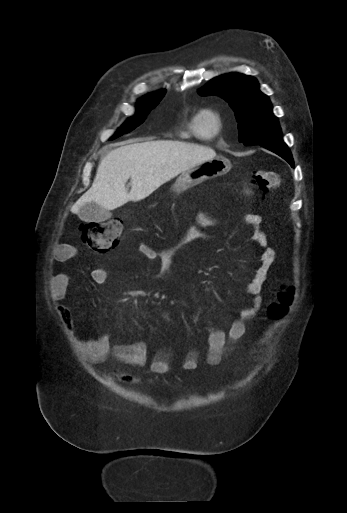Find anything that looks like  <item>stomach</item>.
Wrapping results in <instances>:
<instances>
[{
    "mask_svg": "<svg viewBox=\"0 0 347 513\" xmlns=\"http://www.w3.org/2000/svg\"><path fill=\"white\" fill-rule=\"evenodd\" d=\"M231 168L230 161L223 156H215L213 159L197 164L182 172L175 183L176 190H185L202 183L205 180L215 178L227 173Z\"/></svg>",
    "mask_w": 347,
    "mask_h": 513,
    "instance_id": "1",
    "label": "stomach"
}]
</instances>
